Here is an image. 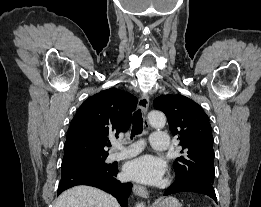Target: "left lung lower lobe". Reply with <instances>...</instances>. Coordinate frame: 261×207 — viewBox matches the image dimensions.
I'll use <instances>...</instances> for the list:
<instances>
[{
  "instance_id": "1",
  "label": "left lung lower lobe",
  "mask_w": 261,
  "mask_h": 207,
  "mask_svg": "<svg viewBox=\"0 0 261 207\" xmlns=\"http://www.w3.org/2000/svg\"><path fill=\"white\" fill-rule=\"evenodd\" d=\"M185 192L204 194L217 202L215 190L211 182L204 179L188 178L177 175L176 180L164 192V196Z\"/></svg>"
}]
</instances>
